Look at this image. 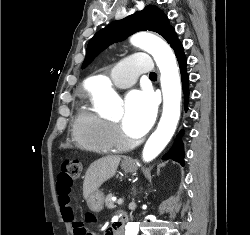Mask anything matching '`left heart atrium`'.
Instances as JSON below:
<instances>
[{
    "label": "left heart atrium",
    "mask_w": 250,
    "mask_h": 235,
    "mask_svg": "<svg viewBox=\"0 0 250 235\" xmlns=\"http://www.w3.org/2000/svg\"><path fill=\"white\" fill-rule=\"evenodd\" d=\"M156 116V102L148 90H133L125 98L123 129L131 137H141L151 128Z\"/></svg>",
    "instance_id": "1"
}]
</instances>
